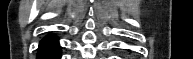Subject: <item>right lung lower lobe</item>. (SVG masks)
Here are the masks:
<instances>
[{"label":"right lung lower lobe","mask_w":193,"mask_h":59,"mask_svg":"<svg viewBox=\"0 0 193 59\" xmlns=\"http://www.w3.org/2000/svg\"><path fill=\"white\" fill-rule=\"evenodd\" d=\"M61 52L55 36H47L40 42L37 59H60Z\"/></svg>","instance_id":"1"}]
</instances>
